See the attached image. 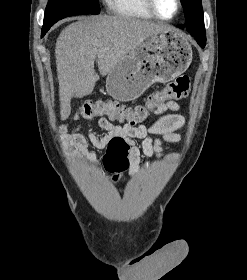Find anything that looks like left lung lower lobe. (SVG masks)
<instances>
[{"label": "left lung lower lobe", "instance_id": "obj_1", "mask_svg": "<svg viewBox=\"0 0 247 280\" xmlns=\"http://www.w3.org/2000/svg\"><path fill=\"white\" fill-rule=\"evenodd\" d=\"M180 28H184L183 25H180L179 26ZM191 33L192 36H194L197 40V43L199 44L200 47L204 48L205 47V44H206V36H200L199 34H197L196 32L194 31H189Z\"/></svg>", "mask_w": 247, "mask_h": 280}]
</instances>
